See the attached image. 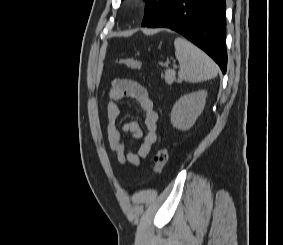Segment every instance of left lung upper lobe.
<instances>
[{
  "mask_svg": "<svg viewBox=\"0 0 283 245\" xmlns=\"http://www.w3.org/2000/svg\"><path fill=\"white\" fill-rule=\"evenodd\" d=\"M173 0H146V9L142 26H146L159 16Z\"/></svg>",
  "mask_w": 283,
  "mask_h": 245,
  "instance_id": "obj_1",
  "label": "left lung upper lobe"
}]
</instances>
